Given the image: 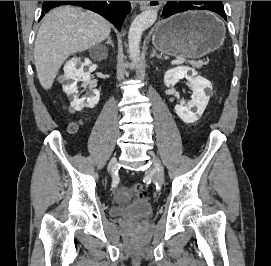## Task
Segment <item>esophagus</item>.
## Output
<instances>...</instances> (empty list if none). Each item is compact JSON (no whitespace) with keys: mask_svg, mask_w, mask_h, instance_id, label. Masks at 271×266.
Wrapping results in <instances>:
<instances>
[{"mask_svg":"<svg viewBox=\"0 0 271 266\" xmlns=\"http://www.w3.org/2000/svg\"><path fill=\"white\" fill-rule=\"evenodd\" d=\"M162 5V1H142L140 4L141 10L147 9H159Z\"/></svg>","mask_w":271,"mask_h":266,"instance_id":"esophagus-1","label":"esophagus"}]
</instances>
